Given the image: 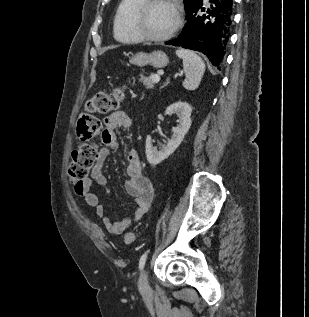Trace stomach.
I'll return each mask as SVG.
<instances>
[{"mask_svg": "<svg viewBox=\"0 0 309 317\" xmlns=\"http://www.w3.org/2000/svg\"><path fill=\"white\" fill-rule=\"evenodd\" d=\"M169 62L167 55L162 51H153L151 53L138 52L130 59L133 65L143 67L145 65H152L155 68L165 67Z\"/></svg>", "mask_w": 309, "mask_h": 317, "instance_id": "stomach-1", "label": "stomach"}]
</instances>
